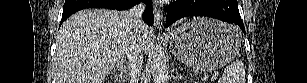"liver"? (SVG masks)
Listing matches in <instances>:
<instances>
[{
    "label": "liver",
    "instance_id": "liver-1",
    "mask_svg": "<svg viewBox=\"0 0 307 83\" xmlns=\"http://www.w3.org/2000/svg\"><path fill=\"white\" fill-rule=\"evenodd\" d=\"M128 12L85 9L70 16L57 37L56 83H103L124 62L130 37ZM153 33L141 30L143 50L152 45Z\"/></svg>",
    "mask_w": 307,
    "mask_h": 83
}]
</instances>
